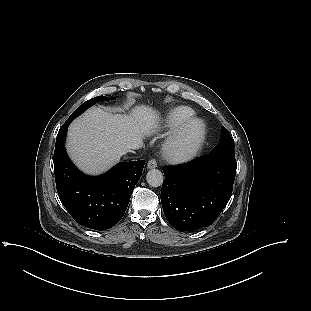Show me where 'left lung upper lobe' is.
<instances>
[{
    "instance_id": "left-lung-upper-lobe-1",
    "label": "left lung upper lobe",
    "mask_w": 311,
    "mask_h": 311,
    "mask_svg": "<svg viewBox=\"0 0 311 311\" xmlns=\"http://www.w3.org/2000/svg\"><path fill=\"white\" fill-rule=\"evenodd\" d=\"M209 154L234 157V141L225 127L221 129L219 143Z\"/></svg>"
}]
</instances>
